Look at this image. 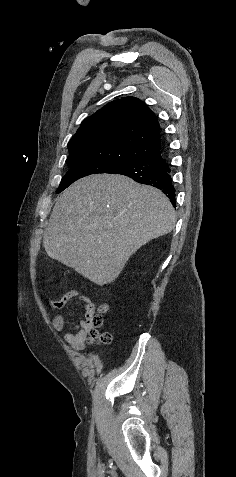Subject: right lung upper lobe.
<instances>
[{
  "mask_svg": "<svg viewBox=\"0 0 236 477\" xmlns=\"http://www.w3.org/2000/svg\"><path fill=\"white\" fill-rule=\"evenodd\" d=\"M159 131L156 116L138 98L114 100L82 122L68 143L66 162L105 158L126 166L160 149Z\"/></svg>",
  "mask_w": 236,
  "mask_h": 477,
  "instance_id": "1",
  "label": "right lung upper lobe"
}]
</instances>
